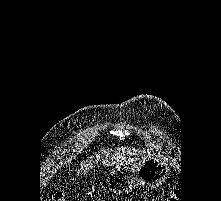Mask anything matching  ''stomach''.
<instances>
[{"label":"stomach","mask_w":221,"mask_h":201,"mask_svg":"<svg viewBox=\"0 0 221 201\" xmlns=\"http://www.w3.org/2000/svg\"><path fill=\"white\" fill-rule=\"evenodd\" d=\"M169 163L160 158L146 157L137 163L116 165L107 177V185L113 194H125L136 187H156L169 175Z\"/></svg>","instance_id":"stomach-1"}]
</instances>
